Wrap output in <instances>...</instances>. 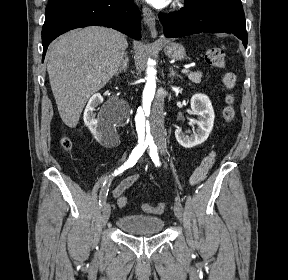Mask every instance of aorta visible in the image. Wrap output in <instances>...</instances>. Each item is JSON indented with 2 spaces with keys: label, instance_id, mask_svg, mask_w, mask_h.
I'll return each mask as SVG.
<instances>
[{
  "label": "aorta",
  "instance_id": "obj_1",
  "mask_svg": "<svg viewBox=\"0 0 288 280\" xmlns=\"http://www.w3.org/2000/svg\"><path fill=\"white\" fill-rule=\"evenodd\" d=\"M152 63L153 61L149 59L146 70V84L143 91V104L142 106H137L134 120H149L151 103L156 90V70L152 66ZM136 124V136H138V140H152L150 121H137Z\"/></svg>",
  "mask_w": 288,
  "mask_h": 280
}]
</instances>
